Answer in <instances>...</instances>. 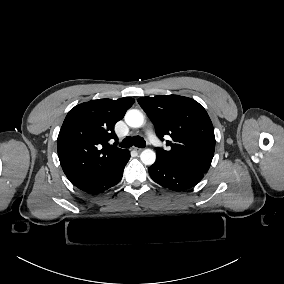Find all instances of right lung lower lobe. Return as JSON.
I'll list each match as a JSON object with an SVG mask.
<instances>
[{
	"label": "right lung lower lobe",
	"instance_id": "right-lung-lower-lobe-1",
	"mask_svg": "<svg viewBox=\"0 0 284 284\" xmlns=\"http://www.w3.org/2000/svg\"><path fill=\"white\" fill-rule=\"evenodd\" d=\"M130 158V152L127 151L123 158L117 162L109 171H107L101 178L96 182L87 186L83 191L89 194H100L107 189L118 184L123 176V170Z\"/></svg>",
	"mask_w": 284,
	"mask_h": 284
}]
</instances>
